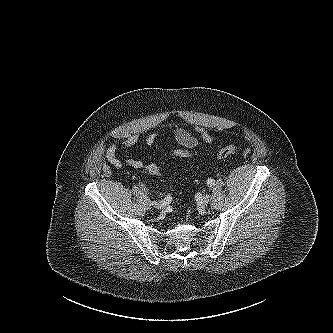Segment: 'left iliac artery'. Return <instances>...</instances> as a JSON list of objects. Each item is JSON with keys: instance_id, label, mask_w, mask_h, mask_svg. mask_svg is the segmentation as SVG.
Wrapping results in <instances>:
<instances>
[{"instance_id": "left-iliac-artery-1", "label": "left iliac artery", "mask_w": 333, "mask_h": 333, "mask_svg": "<svg viewBox=\"0 0 333 333\" xmlns=\"http://www.w3.org/2000/svg\"><path fill=\"white\" fill-rule=\"evenodd\" d=\"M207 185L209 186V187H212L213 185H215V180L214 179H208L207 180Z\"/></svg>"}]
</instances>
